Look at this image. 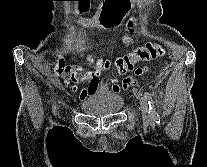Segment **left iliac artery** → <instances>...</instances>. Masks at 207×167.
Instances as JSON below:
<instances>
[{
    "label": "left iliac artery",
    "mask_w": 207,
    "mask_h": 167,
    "mask_svg": "<svg viewBox=\"0 0 207 167\" xmlns=\"http://www.w3.org/2000/svg\"><path fill=\"white\" fill-rule=\"evenodd\" d=\"M144 97L148 101L149 114L154 118V121L156 122V124L160 125V117L155 110L154 101H153L151 94L149 92H145Z\"/></svg>",
    "instance_id": "1"
}]
</instances>
